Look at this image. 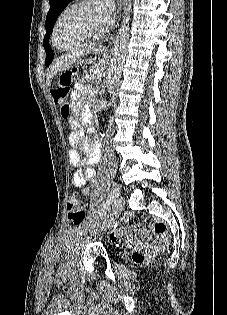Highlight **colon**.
<instances>
[{"label": "colon", "mask_w": 227, "mask_h": 315, "mask_svg": "<svg viewBox=\"0 0 227 315\" xmlns=\"http://www.w3.org/2000/svg\"><path fill=\"white\" fill-rule=\"evenodd\" d=\"M75 69L65 71L60 74L57 84L52 89L54 100L61 104V111L65 118L70 114L71 108L68 102L70 94V84ZM67 209L69 218L75 224H81L86 218L85 209L80 201L78 192H72L67 200ZM126 236H132L136 239L144 240V247L133 254V260L136 264H144L151 260L158 252L162 251L170 240L168 225L165 221L153 219L150 222V234L141 226L136 225L125 229L122 232Z\"/></svg>", "instance_id": "1"}]
</instances>
